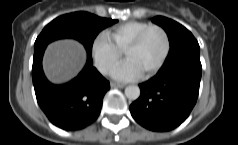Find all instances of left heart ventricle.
<instances>
[{
  "mask_svg": "<svg viewBox=\"0 0 238 145\" xmlns=\"http://www.w3.org/2000/svg\"><path fill=\"white\" fill-rule=\"evenodd\" d=\"M163 49V35L159 30L154 29L147 34L136 49L128 52L125 58L131 61L144 74L158 62Z\"/></svg>",
  "mask_w": 238,
  "mask_h": 145,
  "instance_id": "obj_1",
  "label": "left heart ventricle"
}]
</instances>
